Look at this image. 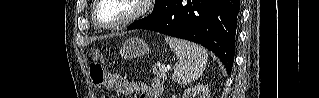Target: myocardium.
<instances>
[{
    "mask_svg": "<svg viewBox=\"0 0 319 98\" xmlns=\"http://www.w3.org/2000/svg\"><path fill=\"white\" fill-rule=\"evenodd\" d=\"M102 1L103 0L94 1L93 7H92V21L98 28L105 29V30H113V29L122 28L136 22L148 12L150 3L152 2L150 0H132L135 4V10L133 11V13H131L126 18L120 21L114 22L112 24H103L102 22H100L97 15L98 7Z\"/></svg>",
    "mask_w": 319,
    "mask_h": 98,
    "instance_id": "f54148a6",
    "label": "myocardium"
}]
</instances>
